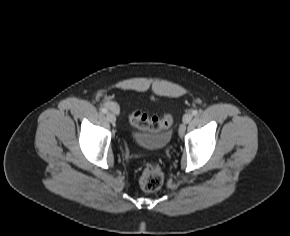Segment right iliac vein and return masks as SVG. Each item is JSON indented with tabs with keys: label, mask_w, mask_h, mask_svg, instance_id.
<instances>
[{
	"label": "right iliac vein",
	"mask_w": 290,
	"mask_h": 236,
	"mask_svg": "<svg viewBox=\"0 0 290 236\" xmlns=\"http://www.w3.org/2000/svg\"><path fill=\"white\" fill-rule=\"evenodd\" d=\"M107 119L111 123H115L116 122V116H115L114 113H111V112L107 113Z\"/></svg>",
	"instance_id": "63e3f726"
}]
</instances>
